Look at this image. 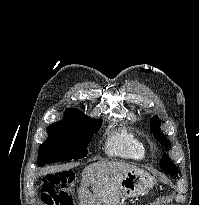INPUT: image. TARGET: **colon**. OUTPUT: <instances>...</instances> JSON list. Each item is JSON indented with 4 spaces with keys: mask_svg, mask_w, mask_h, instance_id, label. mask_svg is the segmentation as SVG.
Masks as SVG:
<instances>
[{
    "mask_svg": "<svg viewBox=\"0 0 199 205\" xmlns=\"http://www.w3.org/2000/svg\"><path fill=\"white\" fill-rule=\"evenodd\" d=\"M74 179L71 171L47 174L42 179L41 196L45 204H61L62 197L69 192Z\"/></svg>",
    "mask_w": 199,
    "mask_h": 205,
    "instance_id": "obj_1",
    "label": "colon"
}]
</instances>
